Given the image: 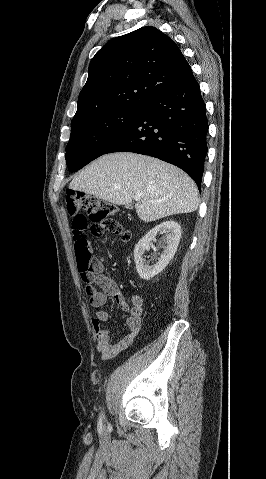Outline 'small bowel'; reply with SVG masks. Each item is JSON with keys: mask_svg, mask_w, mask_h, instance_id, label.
Instances as JSON below:
<instances>
[{"mask_svg": "<svg viewBox=\"0 0 266 479\" xmlns=\"http://www.w3.org/2000/svg\"><path fill=\"white\" fill-rule=\"evenodd\" d=\"M94 282L100 287L96 297L91 300L93 307H102L107 298H111L126 313L125 327L128 330L121 338L113 342L111 331L103 328L102 323L108 321L109 313L105 310H98L92 320V326L97 337V350L102 358L110 359L127 349L139 333L142 325V314L144 310V299L141 295L133 292L131 305L127 303L118 284L103 273L104 265L99 259L93 261Z\"/></svg>", "mask_w": 266, "mask_h": 479, "instance_id": "c3829d8e", "label": "small bowel"}]
</instances>
